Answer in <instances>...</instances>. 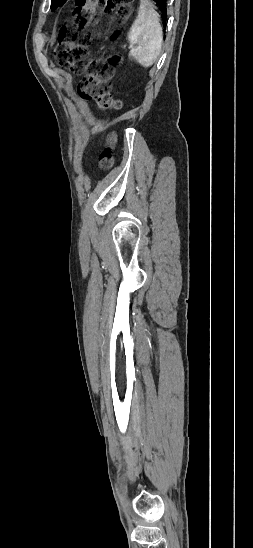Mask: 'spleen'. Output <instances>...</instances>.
<instances>
[{
  "label": "spleen",
  "instance_id": "3e777b00",
  "mask_svg": "<svg viewBox=\"0 0 253 548\" xmlns=\"http://www.w3.org/2000/svg\"><path fill=\"white\" fill-rule=\"evenodd\" d=\"M129 42L134 45L130 55L143 67L148 68L160 55L163 32L159 23V14L148 0H140L138 16L128 34Z\"/></svg>",
  "mask_w": 253,
  "mask_h": 548
}]
</instances>
